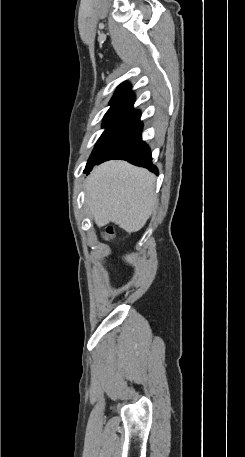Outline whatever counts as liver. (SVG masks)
Masks as SVG:
<instances>
[{"label":"liver","mask_w":245,"mask_h":457,"mask_svg":"<svg viewBox=\"0 0 245 457\" xmlns=\"http://www.w3.org/2000/svg\"><path fill=\"white\" fill-rule=\"evenodd\" d=\"M155 176L126 160H108L93 168L86 184V204L97 226L110 220L127 233L144 226L157 202Z\"/></svg>","instance_id":"obj_1"}]
</instances>
